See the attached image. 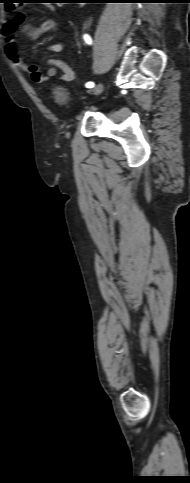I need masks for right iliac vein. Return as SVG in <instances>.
I'll return each mask as SVG.
<instances>
[{
  "label": "right iliac vein",
  "instance_id": "right-iliac-vein-1",
  "mask_svg": "<svg viewBox=\"0 0 190 483\" xmlns=\"http://www.w3.org/2000/svg\"><path fill=\"white\" fill-rule=\"evenodd\" d=\"M102 89H103V85L99 84L95 89L89 91V93L96 95V94L100 93Z\"/></svg>",
  "mask_w": 190,
  "mask_h": 483
}]
</instances>
